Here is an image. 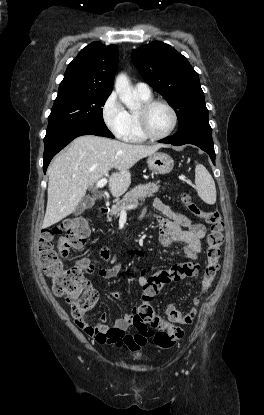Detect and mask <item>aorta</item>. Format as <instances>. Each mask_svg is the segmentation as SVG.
I'll return each instance as SVG.
<instances>
[{
	"instance_id": "aorta-1",
	"label": "aorta",
	"mask_w": 264,
	"mask_h": 415,
	"mask_svg": "<svg viewBox=\"0 0 264 415\" xmlns=\"http://www.w3.org/2000/svg\"><path fill=\"white\" fill-rule=\"evenodd\" d=\"M115 90L119 95L120 100L129 109H135L139 106V98L136 92L132 89L129 79L126 74L121 73L115 80Z\"/></svg>"
}]
</instances>
